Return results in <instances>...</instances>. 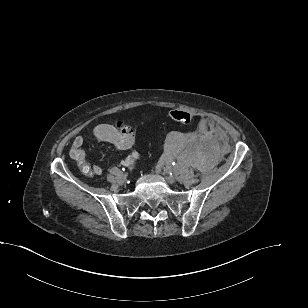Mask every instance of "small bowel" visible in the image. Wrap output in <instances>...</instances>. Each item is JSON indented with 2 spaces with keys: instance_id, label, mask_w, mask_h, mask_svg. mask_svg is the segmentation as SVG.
<instances>
[{
  "instance_id": "c3829d8e",
  "label": "small bowel",
  "mask_w": 308,
  "mask_h": 308,
  "mask_svg": "<svg viewBox=\"0 0 308 308\" xmlns=\"http://www.w3.org/2000/svg\"><path fill=\"white\" fill-rule=\"evenodd\" d=\"M88 133L100 141L113 144L119 150L130 149L135 141L134 130L121 121L115 122L114 124H95L88 128ZM84 141V136H76L70 149V156L79 162H83L85 159V151L83 150ZM138 158L139 153L137 151H133L122 159L120 163L123 166H131ZM90 171L94 175L102 174V168L99 165H94Z\"/></svg>"
}]
</instances>
